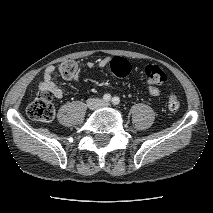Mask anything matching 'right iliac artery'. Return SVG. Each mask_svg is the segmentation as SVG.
<instances>
[{"label": "right iliac artery", "instance_id": "right-iliac-artery-1", "mask_svg": "<svg viewBox=\"0 0 213 213\" xmlns=\"http://www.w3.org/2000/svg\"><path fill=\"white\" fill-rule=\"evenodd\" d=\"M103 100L106 101V102L110 101L111 100V95L110 94H105L103 96Z\"/></svg>", "mask_w": 213, "mask_h": 213}]
</instances>
